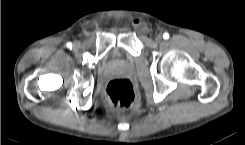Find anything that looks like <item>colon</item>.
<instances>
[{
  "label": "colon",
  "mask_w": 245,
  "mask_h": 145,
  "mask_svg": "<svg viewBox=\"0 0 245 145\" xmlns=\"http://www.w3.org/2000/svg\"><path fill=\"white\" fill-rule=\"evenodd\" d=\"M135 26L139 30L150 29V25L143 21H137ZM106 94L110 103L117 109L131 107L136 99L135 87L128 79H114L110 81L106 88Z\"/></svg>",
  "instance_id": "obj_1"
}]
</instances>
